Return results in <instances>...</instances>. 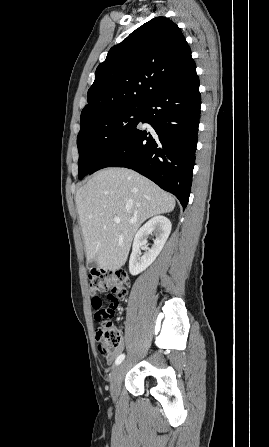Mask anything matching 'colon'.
<instances>
[{
	"label": "colon",
	"mask_w": 269,
	"mask_h": 447,
	"mask_svg": "<svg viewBox=\"0 0 269 447\" xmlns=\"http://www.w3.org/2000/svg\"><path fill=\"white\" fill-rule=\"evenodd\" d=\"M88 291L92 295H104L106 298L92 297L95 312L93 319L98 321L96 339L103 354L114 352L122 343L123 335L112 320L115 311L127 300L129 284L120 272L104 273L99 266H92L87 275ZM106 302V303H105Z\"/></svg>",
	"instance_id": "1"
}]
</instances>
